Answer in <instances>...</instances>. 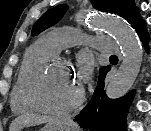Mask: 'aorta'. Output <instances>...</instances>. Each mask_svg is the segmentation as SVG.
Instances as JSON below:
<instances>
[{
    "label": "aorta",
    "mask_w": 151,
    "mask_h": 131,
    "mask_svg": "<svg viewBox=\"0 0 151 131\" xmlns=\"http://www.w3.org/2000/svg\"><path fill=\"white\" fill-rule=\"evenodd\" d=\"M92 25L112 34L120 45L123 61L106 88L109 98H120L135 82L142 64L143 50L132 27L117 16H96L92 20Z\"/></svg>",
    "instance_id": "obj_1"
}]
</instances>
